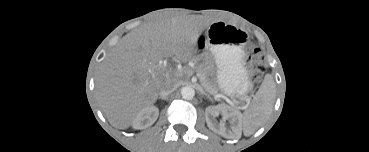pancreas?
Masks as SVG:
<instances>
[{"instance_id":"1","label":"pancreas","mask_w":369,"mask_h":152,"mask_svg":"<svg viewBox=\"0 0 369 152\" xmlns=\"http://www.w3.org/2000/svg\"><path fill=\"white\" fill-rule=\"evenodd\" d=\"M197 72H198L197 76L201 80V84L204 87V89L209 93L213 92V93L217 94L218 89H217L216 85L213 82L209 81L207 79L206 75L201 70H198Z\"/></svg>"}]
</instances>
